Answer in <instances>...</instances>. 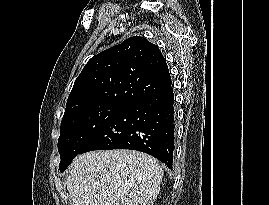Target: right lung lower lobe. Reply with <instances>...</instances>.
<instances>
[{"label": "right lung lower lobe", "instance_id": "1", "mask_svg": "<svg viewBox=\"0 0 269 205\" xmlns=\"http://www.w3.org/2000/svg\"><path fill=\"white\" fill-rule=\"evenodd\" d=\"M174 141V94L170 87L127 106L79 154L102 149H132L148 153L172 169Z\"/></svg>", "mask_w": 269, "mask_h": 205}]
</instances>
